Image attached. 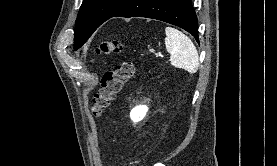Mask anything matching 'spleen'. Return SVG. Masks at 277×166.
Masks as SVG:
<instances>
[{"label":"spleen","mask_w":277,"mask_h":166,"mask_svg":"<svg viewBox=\"0 0 277 166\" xmlns=\"http://www.w3.org/2000/svg\"><path fill=\"white\" fill-rule=\"evenodd\" d=\"M165 46L170 53L171 64L189 73L199 68L198 51L189 37L173 27H166Z\"/></svg>","instance_id":"spleen-1"}]
</instances>
